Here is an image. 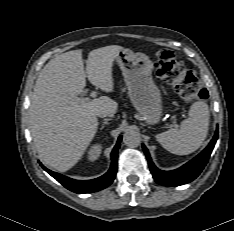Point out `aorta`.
<instances>
[{
	"label": "aorta",
	"mask_w": 234,
	"mask_h": 231,
	"mask_svg": "<svg viewBox=\"0 0 234 231\" xmlns=\"http://www.w3.org/2000/svg\"><path fill=\"white\" fill-rule=\"evenodd\" d=\"M123 143L130 147H138L141 143L140 133L134 129H128L123 135Z\"/></svg>",
	"instance_id": "aorta-1"
}]
</instances>
